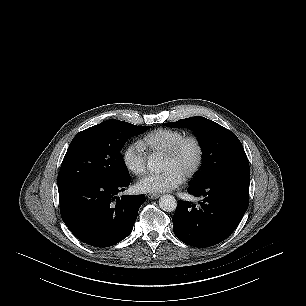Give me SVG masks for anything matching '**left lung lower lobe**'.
Returning <instances> with one entry per match:
<instances>
[{
    "instance_id": "left-lung-lower-lobe-1",
    "label": "left lung lower lobe",
    "mask_w": 306,
    "mask_h": 306,
    "mask_svg": "<svg viewBox=\"0 0 306 306\" xmlns=\"http://www.w3.org/2000/svg\"><path fill=\"white\" fill-rule=\"evenodd\" d=\"M250 174H228L191 184L188 193L201 197L199 206L179 201L172 218L178 239L194 247H210L237 227L249 204Z\"/></svg>"
}]
</instances>
